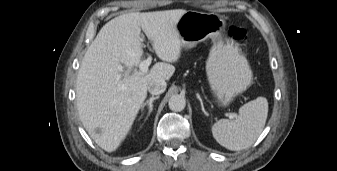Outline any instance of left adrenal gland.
Returning a JSON list of instances; mask_svg holds the SVG:
<instances>
[{"mask_svg":"<svg viewBox=\"0 0 337 171\" xmlns=\"http://www.w3.org/2000/svg\"><path fill=\"white\" fill-rule=\"evenodd\" d=\"M197 97H198V99H199V101H200V103H201V108H202L203 113H204L206 116H208V113L205 111V108H204L202 99L200 98L199 95H197Z\"/></svg>","mask_w":337,"mask_h":171,"instance_id":"a2214340","label":"left adrenal gland"}]
</instances>
